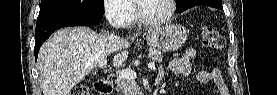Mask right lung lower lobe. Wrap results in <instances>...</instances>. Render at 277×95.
<instances>
[{"mask_svg":"<svg viewBox=\"0 0 277 95\" xmlns=\"http://www.w3.org/2000/svg\"><path fill=\"white\" fill-rule=\"evenodd\" d=\"M103 16L87 17H56L37 21L35 34V59L43 42L57 29L67 26H92L97 25Z\"/></svg>","mask_w":277,"mask_h":95,"instance_id":"1","label":"right lung lower lobe"}]
</instances>
